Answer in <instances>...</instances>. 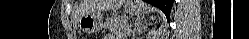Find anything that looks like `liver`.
<instances>
[{"label": "liver", "instance_id": "6515ba94", "mask_svg": "<svg viewBox=\"0 0 249 39\" xmlns=\"http://www.w3.org/2000/svg\"><path fill=\"white\" fill-rule=\"evenodd\" d=\"M125 0H83L79 6L77 19L92 11H107L120 8Z\"/></svg>", "mask_w": 249, "mask_h": 39}]
</instances>
